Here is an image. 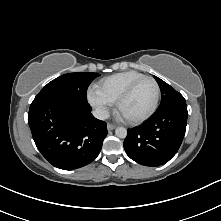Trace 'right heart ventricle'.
Returning a JSON list of instances; mask_svg holds the SVG:
<instances>
[{"mask_svg": "<svg viewBox=\"0 0 221 221\" xmlns=\"http://www.w3.org/2000/svg\"><path fill=\"white\" fill-rule=\"evenodd\" d=\"M142 76H144L142 73L134 70L117 73L102 79L97 84L96 90L110 103H115L123 91Z\"/></svg>", "mask_w": 221, "mask_h": 221, "instance_id": "obj_1", "label": "right heart ventricle"}]
</instances>
